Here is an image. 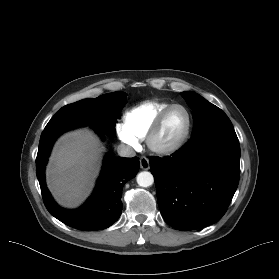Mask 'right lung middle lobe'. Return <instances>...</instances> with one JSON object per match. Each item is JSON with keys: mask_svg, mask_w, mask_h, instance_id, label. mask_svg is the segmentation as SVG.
<instances>
[{"mask_svg": "<svg viewBox=\"0 0 279 279\" xmlns=\"http://www.w3.org/2000/svg\"><path fill=\"white\" fill-rule=\"evenodd\" d=\"M126 99V93L117 91L66 105L51 118L45 129L65 123H84L114 137L116 119Z\"/></svg>", "mask_w": 279, "mask_h": 279, "instance_id": "right-lung-middle-lobe-1", "label": "right lung middle lobe"}]
</instances>
